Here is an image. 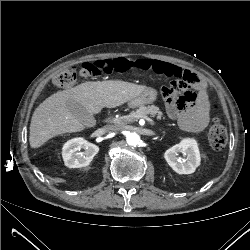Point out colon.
I'll return each mask as SVG.
<instances>
[{"label":"colon","mask_w":250,"mask_h":250,"mask_svg":"<svg viewBox=\"0 0 250 250\" xmlns=\"http://www.w3.org/2000/svg\"><path fill=\"white\" fill-rule=\"evenodd\" d=\"M133 66V62L125 58H117L114 60H97L88 62L83 65V74L87 76H100L112 73L125 72ZM77 81V68L68 67L53 78V83L58 88H69L74 86ZM200 78L197 74L191 71H185L183 78L175 77L171 91L181 90L183 83L198 84ZM181 98L187 102L194 104L198 99V94L193 90H186L183 92ZM208 140L214 149H222L225 147L228 135L225 127L219 123L217 118L213 119V123L208 130Z\"/></svg>","instance_id":"obj_1"}]
</instances>
